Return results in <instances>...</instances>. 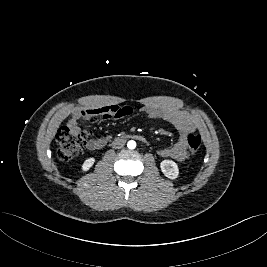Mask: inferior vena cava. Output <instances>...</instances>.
<instances>
[{
	"label": "inferior vena cava",
	"instance_id": "602c4592",
	"mask_svg": "<svg viewBox=\"0 0 267 267\" xmlns=\"http://www.w3.org/2000/svg\"><path fill=\"white\" fill-rule=\"evenodd\" d=\"M126 141L124 139L117 138L112 142V147L115 149H120L125 145Z\"/></svg>",
	"mask_w": 267,
	"mask_h": 267
}]
</instances>
